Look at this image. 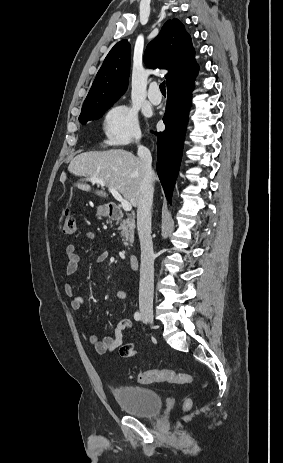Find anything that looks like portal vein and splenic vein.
Instances as JSON below:
<instances>
[{
  "instance_id": "portal-vein-and-splenic-vein-1",
  "label": "portal vein and splenic vein",
  "mask_w": 283,
  "mask_h": 463,
  "mask_svg": "<svg viewBox=\"0 0 283 463\" xmlns=\"http://www.w3.org/2000/svg\"><path fill=\"white\" fill-rule=\"evenodd\" d=\"M90 181H91L92 183L101 184V185H103V186H104V185H107V183H106L104 180L99 179V178H90ZM109 191L111 192V194L113 195V197L121 203L122 208H123L125 211H131V210H132V205H131V203H130L128 200L124 199V198L122 197V195H121L116 189H114L113 187H109Z\"/></svg>"
}]
</instances>
